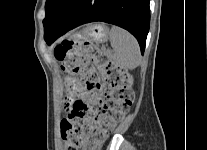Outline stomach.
<instances>
[{
  "mask_svg": "<svg viewBox=\"0 0 207 150\" xmlns=\"http://www.w3.org/2000/svg\"><path fill=\"white\" fill-rule=\"evenodd\" d=\"M83 35L91 38L95 42H101L106 38L107 28L100 23L91 24L84 29Z\"/></svg>",
  "mask_w": 207,
  "mask_h": 150,
  "instance_id": "stomach-1",
  "label": "stomach"
}]
</instances>
